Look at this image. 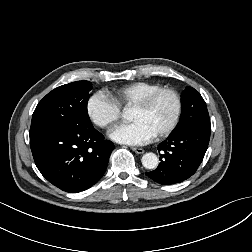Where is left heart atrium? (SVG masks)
Instances as JSON below:
<instances>
[{
	"instance_id": "obj_1",
	"label": "left heart atrium",
	"mask_w": 252,
	"mask_h": 252,
	"mask_svg": "<svg viewBox=\"0 0 252 252\" xmlns=\"http://www.w3.org/2000/svg\"><path fill=\"white\" fill-rule=\"evenodd\" d=\"M156 133L145 122L135 120L116 126L110 132V137L122 144L142 145L155 137Z\"/></svg>"
}]
</instances>
